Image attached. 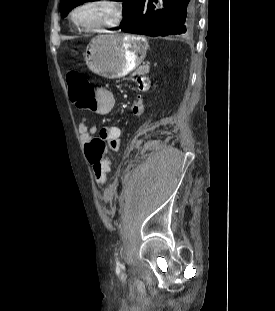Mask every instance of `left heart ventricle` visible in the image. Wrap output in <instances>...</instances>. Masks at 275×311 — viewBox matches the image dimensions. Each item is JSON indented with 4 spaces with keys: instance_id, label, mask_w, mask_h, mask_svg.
<instances>
[{
    "instance_id": "obj_1",
    "label": "left heart ventricle",
    "mask_w": 275,
    "mask_h": 311,
    "mask_svg": "<svg viewBox=\"0 0 275 311\" xmlns=\"http://www.w3.org/2000/svg\"><path fill=\"white\" fill-rule=\"evenodd\" d=\"M110 16V11L106 7L94 5L81 11L78 18L83 22L97 23L109 19Z\"/></svg>"
}]
</instances>
